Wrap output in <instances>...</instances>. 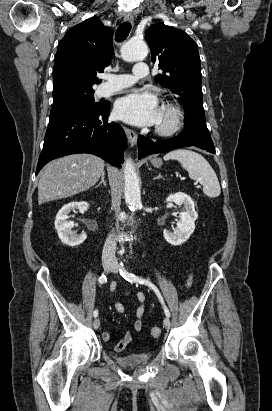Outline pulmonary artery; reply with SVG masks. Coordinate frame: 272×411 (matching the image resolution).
<instances>
[{
  "label": "pulmonary artery",
  "instance_id": "pulmonary-artery-1",
  "mask_svg": "<svg viewBox=\"0 0 272 411\" xmlns=\"http://www.w3.org/2000/svg\"><path fill=\"white\" fill-rule=\"evenodd\" d=\"M148 75V67L145 63H137L134 67L133 74H107L106 83L98 88L99 96H109L124 88L130 87L140 78Z\"/></svg>",
  "mask_w": 272,
  "mask_h": 411
}]
</instances>
